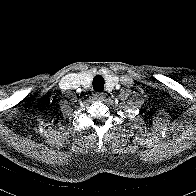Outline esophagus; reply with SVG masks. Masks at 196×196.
Segmentation results:
<instances>
[{
	"mask_svg": "<svg viewBox=\"0 0 196 196\" xmlns=\"http://www.w3.org/2000/svg\"><path fill=\"white\" fill-rule=\"evenodd\" d=\"M94 98L96 100H102L104 98V94L100 93V92H97V93L94 94Z\"/></svg>",
	"mask_w": 196,
	"mask_h": 196,
	"instance_id": "obj_1",
	"label": "esophagus"
}]
</instances>
